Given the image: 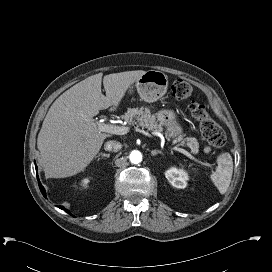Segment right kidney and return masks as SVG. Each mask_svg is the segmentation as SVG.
<instances>
[{
    "instance_id": "1",
    "label": "right kidney",
    "mask_w": 272,
    "mask_h": 272,
    "mask_svg": "<svg viewBox=\"0 0 272 272\" xmlns=\"http://www.w3.org/2000/svg\"><path fill=\"white\" fill-rule=\"evenodd\" d=\"M89 182H90V180H89L88 178H84V179L82 180V185H83V186H87Z\"/></svg>"
}]
</instances>
